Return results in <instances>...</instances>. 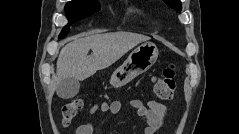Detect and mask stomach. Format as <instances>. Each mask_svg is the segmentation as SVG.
I'll list each match as a JSON object with an SVG mask.
<instances>
[{
	"label": "stomach",
	"instance_id": "stomach-1",
	"mask_svg": "<svg viewBox=\"0 0 239 134\" xmlns=\"http://www.w3.org/2000/svg\"><path fill=\"white\" fill-rule=\"evenodd\" d=\"M158 54V49L154 43L145 42L141 44L128 56L126 61L113 72L110 84L113 87L127 84L151 68L156 62Z\"/></svg>",
	"mask_w": 239,
	"mask_h": 134
}]
</instances>
